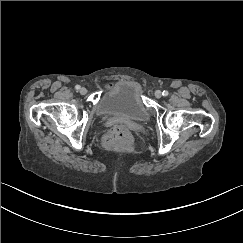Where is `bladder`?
Returning a JSON list of instances; mask_svg holds the SVG:
<instances>
[{"instance_id":"31cf9c89","label":"bladder","mask_w":243,"mask_h":243,"mask_svg":"<svg viewBox=\"0 0 243 243\" xmlns=\"http://www.w3.org/2000/svg\"><path fill=\"white\" fill-rule=\"evenodd\" d=\"M96 112L106 118H123L137 122L149 119L142 99V87L134 80H122L107 90L95 105Z\"/></svg>"}]
</instances>
